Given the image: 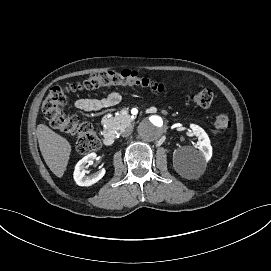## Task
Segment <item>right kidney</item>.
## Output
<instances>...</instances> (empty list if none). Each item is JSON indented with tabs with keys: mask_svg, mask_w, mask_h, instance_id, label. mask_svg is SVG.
<instances>
[{
	"mask_svg": "<svg viewBox=\"0 0 271 271\" xmlns=\"http://www.w3.org/2000/svg\"><path fill=\"white\" fill-rule=\"evenodd\" d=\"M96 160V154L91 153L81 159L74 168L73 171V179L80 186H90L100 180L104 173L105 169L101 168L94 174L85 175L84 169L87 168L88 165L92 164Z\"/></svg>",
	"mask_w": 271,
	"mask_h": 271,
	"instance_id": "obj_1",
	"label": "right kidney"
}]
</instances>
